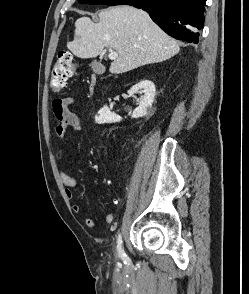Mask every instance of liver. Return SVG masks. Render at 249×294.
Here are the masks:
<instances>
[{
    "mask_svg": "<svg viewBox=\"0 0 249 294\" xmlns=\"http://www.w3.org/2000/svg\"><path fill=\"white\" fill-rule=\"evenodd\" d=\"M98 17V23L88 17L77 19L74 39L67 48L82 59L97 57L104 47L115 50L118 57L109 69L113 74L165 61L180 51L178 43L141 9L115 6Z\"/></svg>",
    "mask_w": 249,
    "mask_h": 294,
    "instance_id": "liver-1",
    "label": "liver"
}]
</instances>
